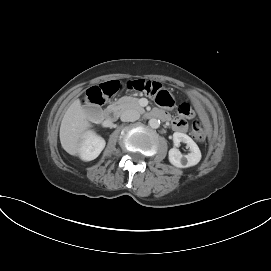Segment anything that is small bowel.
<instances>
[{
    "mask_svg": "<svg viewBox=\"0 0 271 271\" xmlns=\"http://www.w3.org/2000/svg\"><path fill=\"white\" fill-rule=\"evenodd\" d=\"M172 127L175 131L184 133L187 131V122L182 118H175L172 121Z\"/></svg>",
    "mask_w": 271,
    "mask_h": 271,
    "instance_id": "1",
    "label": "small bowel"
}]
</instances>
